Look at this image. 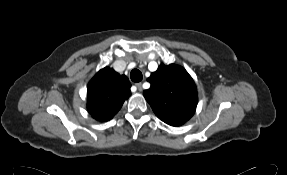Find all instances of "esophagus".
<instances>
[{
  "instance_id": "esophagus-1",
  "label": "esophagus",
  "mask_w": 287,
  "mask_h": 175,
  "mask_svg": "<svg viewBox=\"0 0 287 175\" xmlns=\"http://www.w3.org/2000/svg\"><path fill=\"white\" fill-rule=\"evenodd\" d=\"M135 85L139 91H142V83L141 82L136 83Z\"/></svg>"
}]
</instances>
